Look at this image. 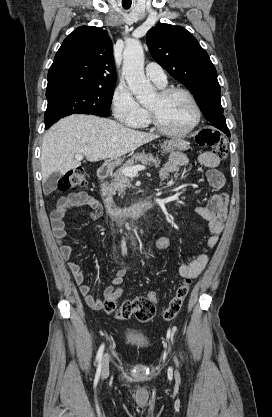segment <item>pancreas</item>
Instances as JSON below:
<instances>
[{"label": "pancreas", "mask_w": 272, "mask_h": 417, "mask_svg": "<svg viewBox=\"0 0 272 417\" xmlns=\"http://www.w3.org/2000/svg\"><path fill=\"white\" fill-rule=\"evenodd\" d=\"M138 162H141L144 165H155L156 167H159L161 161L158 158H154L152 154L137 153L125 167H131ZM109 186L110 190L118 191L119 194H123L127 188L131 187V183L128 176H125L122 173V169H119L116 174H114L113 180Z\"/></svg>", "instance_id": "1"}]
</instances>
